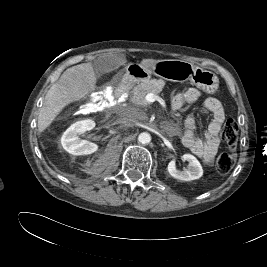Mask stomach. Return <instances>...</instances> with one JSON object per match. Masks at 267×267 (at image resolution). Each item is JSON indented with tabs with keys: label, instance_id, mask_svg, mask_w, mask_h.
<instances>
[{
	"label": "stomach",
	"instance_id": "1",
	"mask_svg": "<svg viewBox=\"0 0 267 267\" xmlns=\"http://www.w3.org/2000/svg\"><path fill=\"white\" fill-rule=\"evenodd\" d=\"M138 66L140 70L129 75L136 81H147L154 74L170 81H190L192 85L210 94L215 93L219 86V79L213 72L184 60H158L150 67L143 64Z\"/></svg>",
	"mask_w": 267,
	"mask_h": 267
}]
</instances>
